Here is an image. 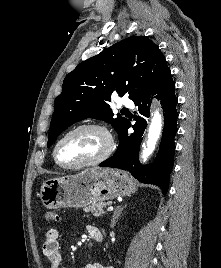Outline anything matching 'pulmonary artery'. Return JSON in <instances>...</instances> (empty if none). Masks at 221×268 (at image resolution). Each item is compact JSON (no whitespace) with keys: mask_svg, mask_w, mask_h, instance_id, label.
Segmentation results:
<instances>
[{"mask_svg":"<svg viewBox=\"0 0 221 268\" xmlns=\"http://www.w3.org/2000/svg\"><path fill=\"white\" fill-rule=\"evenodd\" d=\"M121 104L128 108L134 107V103L130 99H127V98L122 99Z\"/></svg>","mask_w":221,"mask_h":268,"instance_id":"1","label":"pulmonary artery"}]
</instances>
